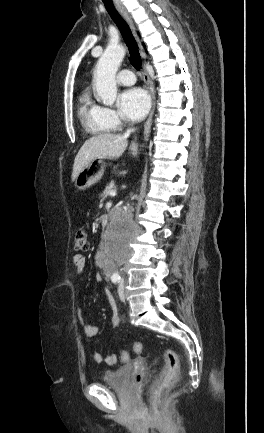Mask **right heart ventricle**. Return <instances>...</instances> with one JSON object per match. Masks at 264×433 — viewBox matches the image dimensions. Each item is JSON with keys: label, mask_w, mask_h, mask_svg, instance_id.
Listing matches in <instances>:
<instances>
[{"label": "right heart ventricle", "mask_w": 264, "mask_h": 433, "mask_svg": "<svg viewBox=\"0 0 264 433\" xmlns=\"http://www.w3.org/2000/svg\"><path fill=\"white\" fill-rule=\"evenodd\" d=\"M79 118L84 129L91 135H104L112 130L104 119L102 107L97 105L88 94L80 97Z\"/></svg>", "instance_id": "e07e8e85"}]
</instances>
